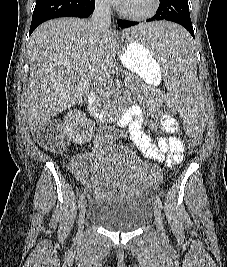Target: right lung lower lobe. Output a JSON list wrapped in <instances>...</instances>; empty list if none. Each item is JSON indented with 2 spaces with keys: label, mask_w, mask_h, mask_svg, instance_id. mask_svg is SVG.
I'll list each match as a JSON object with an SVG mask.
<instances>
[{
  "label": "right lung lower lobe",
  "mask_w": 227,
  "mask_h": 267,
  "mask_svg": "<svg viewBox=\"0 0 227 267\" xmlns=\"http://www.w3.org/2000/svg\"><path fill=\"white\" fill-rule=\"evenodd\" d=\"M95 0H37L30 27L31 34L41 23L58 17H89Z\"/></svg>",
  "instance_id": "right-lung-lower-lobe-1"
}]
</instances>
